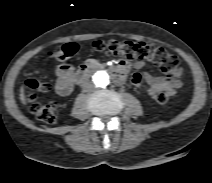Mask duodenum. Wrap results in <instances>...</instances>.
Returning <instances> with one entry per match:
<instances>
[{"mask_svg": "<svg viewBox=\"0 0 212 183\" xmlns=\"http://www.w3.org/2000/svg\"><path fill=\"white\" fill-rule=\"evenodd\" d=\"M100 68H103V67L94 63H86L81 65L75 73V81L77 83H82L88 77H90L92 73H94L96 70ZM110 76L113 79V81H115L116 83L123 82L124 80L123 72L119 67L112 69L110 72Z\"/></svg>", "mask_w": 212, "mask_h": 183, "instance_id": "410a0bca", "label": "duodenum"}]
</instances>
